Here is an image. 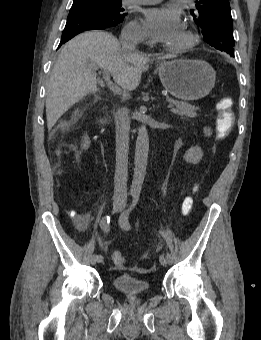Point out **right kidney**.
<instances>
[{"mask_svg": "<svg viewBox=\"0 0 261 340\" xmlns=\"http://www.w3.org/2000/svg\"><path fill=\"white\" fill-rule=\"evenodd\" d=\"M90 146V140L89 137L87 136V134L83 137L82 143H81V147L84 150H87Z\"/></svg>", "mask_w": 261, "mask_h": 340, "instance_id": "ca27d5eb", "label": "right kidney"}]
</instances>
